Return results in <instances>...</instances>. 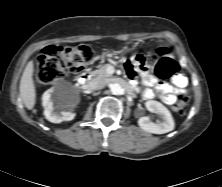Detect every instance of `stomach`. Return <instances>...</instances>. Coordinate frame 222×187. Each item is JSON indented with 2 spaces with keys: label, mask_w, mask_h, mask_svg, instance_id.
Returning a JSON list of instances; mask_svg holds the SVG:
<instances>
[{
  "label": "stomach",
  "mask_w": 222,
  "mask_h": 187,
  "mask_svg": "<svg viewBox=\"0 0 222 187\" xmlns=\"http://www.w3.org/2000/svg\"><path fill=\"white\" fill-rule=\"evenodd\" d=\"M135 47H136L135 43L128 42L123 46V49L129 51V50H133Z\"/></svg>",
  "instance_id": "0dacf381"
}]
</instances>
